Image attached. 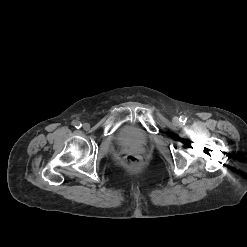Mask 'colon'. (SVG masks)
I'll use <instances>...</instances> for the list:
<instances>
[{"mask_svg": "<svg viewBox=\"0 0 247 247\" xmlns=\"http://www.w3.org/2000/svg\"><path fill=\"white\" fill-rule=\"evenodd\" d=\"M124 163L128 168L135 169L139 166L140 160L136 155H127L124 159Z\"/></svg>", "mask_w": 247, "mask_h": 247, "instance_id": "obj_1", "label": "colon"}]
</instances>
